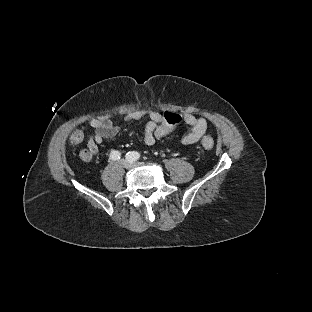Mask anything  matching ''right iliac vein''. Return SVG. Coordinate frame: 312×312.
I'll return each instance as SVG.
<instances>
[{
    "mask_svg": "<svg viewBox=\"0 0 312 312\" xmlns=\"http://www.w3.org/2000/svg\"><path fill=\"white\" fill-rule=\"evenodd\" d=\"M123 166L127 169H130L133 167V162L129 159H126L122 162Z\"/></svg>",
    "mask_w": 312,
    "mask_h": 312,
    "instance_id": "right-iliac-vein-1",
    "label": "right iliac vein"
}]
</instances>
